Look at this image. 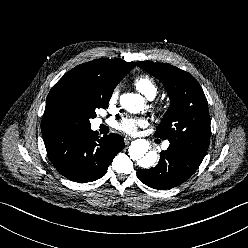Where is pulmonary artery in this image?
<instances>
[{
	"label": "pulmonary artery",
	"mask_w": 248,
	"mask_h": 248,
	"mask_svg": "<svg viewBox=\"0 0 248 248\" xmlns=\"http://www.w3.org/2000/svg\"><path fill=\"white\" fill-rule=\"evenodd\" d=\"M150 99H152V98H150ZM98 123H101V121L98 120ZM168 146H169V142H165V143L163 144V148H164V149H166Z\"/></svg>",
	"instance_id": "obj_1"
}]
</instances>
